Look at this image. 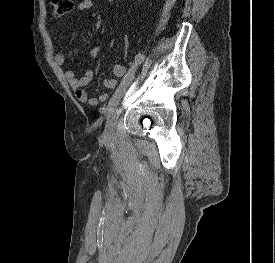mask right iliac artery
<instances>
[{
	"instance_id": "right-iliac-artery-1",
	"label": "right iliac artery",
	"mask_w": 275,
	"mask_h": 263,
	"mask_svg": "<svg viewBox=\"0 0 275 263\" xmlns=\"http://www.w3.org/2000/svg\"><path fill=\"white\" fill-rule=\"evenodd\" d=\"M144 61V55L143 54H138L135 57L134 64L132 67L129 69L128 73L125 75L123 80L121 81L119 87L115 91L114 95L109 101L108 107L110 108L114 102L121 96V94L125 91L127 86L131 83V81L134 78V74L136 72L137 67Z\"/></svg>"
}]
</instances>
